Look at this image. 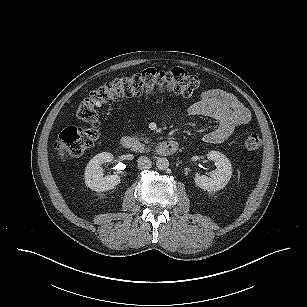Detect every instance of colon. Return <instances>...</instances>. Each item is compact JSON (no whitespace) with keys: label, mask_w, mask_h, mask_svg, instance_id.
I'll return each instance as SVG.
<instances>
[{"label":"colon","mask_w":307,"mask_h":307,"mask_svg":"<svg viewBox=\"0 0 307 307\" xmlns=\"http://www.w3.org/2000/svg\"><path fill=\"white\" fill-rule=\"evenodd\" d=\"M200 87L195 75L181 69H146L138 73L116 78L94 89L78 106L76 116L85 127L65 128L56 142V150L61 159L81 156L99 138L100 119L97 109L124 97L151 96L172 92L189 97ZM243 145L249 150L261 147L262 139L257 133L248 134Z\"/></svg>","instance_id":"obj_1"}]
</instances>
